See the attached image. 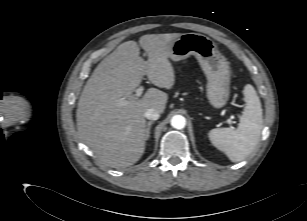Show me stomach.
Segmentation results:
<instances>
[{
  "label": "stomach",
  "mask_w": 307,
  "mask_h": 221,
  "mask_svg": "<svg viewBox=\"0 0 307 221\" xmlns=\"http://www.w3.org/2000/svg\"><path fill=\"white\" fill-rule=\"evenodd\" d=\"M194 55L207 77V98L214 108H222L230 95L231 70L214 42L198 33L181 34L171 45L169 58L180 61Z\"/></svg>",
  "instance_id": "stomach-1"
}]
</instances>
